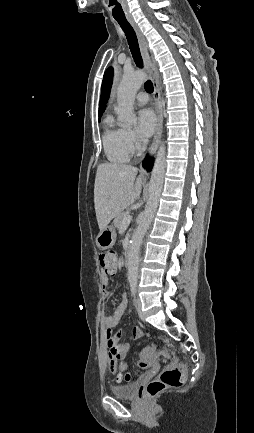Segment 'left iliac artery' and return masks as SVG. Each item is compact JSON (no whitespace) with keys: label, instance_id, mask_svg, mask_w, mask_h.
I'll list each match as a JSON object with an SVG mask.
<instances>
[{"label":"left iliac artery","instance_id":"obj_1","mask_svg":"<svg viewBox=\"0 0 254 433\" xmlns=\"http://www.w3.org/2000/svg\"><path fill=\"white\" fill-rule=\"evenodd\" d=\"M130 286H131V293H132V295H135V293H136L137 282H136V281H132V282L130 283Z\"/></svg>","mask_w":254,"mask_h":433}]
</instances>
